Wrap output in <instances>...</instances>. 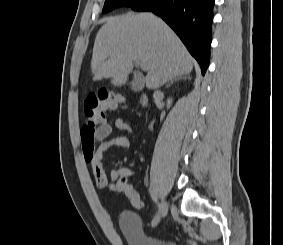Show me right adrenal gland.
Returning <instances> with one entry per match:
<instances>
[{
	"label": "right adrenal gland",
	"instance_id": "1",
	"mask_svg": "<svg viewBox=\"0 0 283 245\" xmlns=\"http://www.w3.org/2000/svg\"><path fill=\"white\" fill-rule=\"evenodd\" d=\"M182 79H190V77L189 76L175 77L172 80H170V82L166 85V88L170 87L174 82H177V81L182 80Z\"/></svg>",
	"mask_w": 283,
	"mask_h": 245
}]
</instances>
